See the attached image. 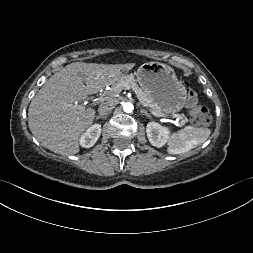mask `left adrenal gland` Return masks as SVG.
Returning a JSON list of instances; mask_svg holds the SVG:
<instances>
[{"instance_id": "1", "label": "left adrenal gland", "mask_w": 253, "mask_h": 253, "mask_svg": "<svg viewBox=\"0 0 253 253\" xmlns=\"http://www.w3.org/2000/svg\"><path fill=\"white\" fill-rule=\"evenodd\" d=\"M140 113L146 115L147 117H150L151 115L144 109L140 108Z\"/></svg>"}]
</instances>
